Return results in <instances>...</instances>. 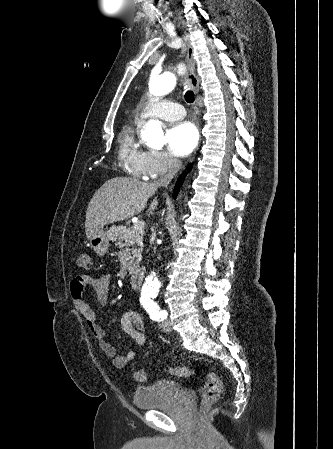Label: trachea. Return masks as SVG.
<instances>
[{
	"mask_svg": "<svg viewBox=\"0 0 333 449\" xmlns=\"http://www.w3.org/2000/svg\"><path fill=\"white\" fill-rule=\"evenodd\" d=\"M185 100H186L188 103H192V102L194 101V93H193L191 90H188V91L185 93Z\"/></svg>",
	"mask_w": 333,
	"mask_h": 449,
	"instance_id": "1",
	"label": "trachea"
}]
</instances>
